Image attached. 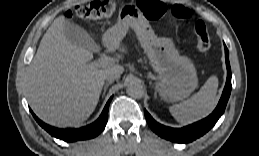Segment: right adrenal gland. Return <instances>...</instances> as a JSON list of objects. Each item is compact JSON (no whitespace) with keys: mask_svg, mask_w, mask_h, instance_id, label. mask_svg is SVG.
<instances>
[{"mask_svg":"<svg viewBox=\"0 0 259 156\" xmlns=\"http://www.w3.org/2000/svg\"><path fill=\"white\" fill-rule=\"evenodd\" d=\"M110 84H112V82H107V83L105 84L104 89H103V96L105 95V93H106V91H107V88H108V86H109ZM103 96H102V97H103Z\"/></svg>","mask_w":259,"mask_h":156,"instance_id":"2a0ac1e0","label":"right adrenal gland"}]
</instances>
